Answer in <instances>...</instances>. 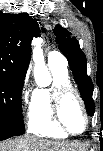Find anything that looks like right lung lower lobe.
Wrapping results in <instances>:
<instances>
[{
    "label": "right lung lower lobe",
    "instance_id": "obj_1",
    "mask_svg": "<svg viewBox=\"0 0 103 151\" xmlns=\"http://www.w3.org/2000/svg\"><path fill=\"white\" fill-rule=\"evenodd\" d=\"M7 138H10V137H2V138H0V140H5Z\"/></svg>",
    "mask_w": 103,
    "mask_h": 151
}]
</instances>
